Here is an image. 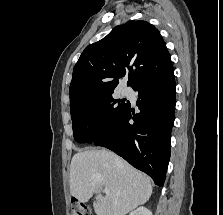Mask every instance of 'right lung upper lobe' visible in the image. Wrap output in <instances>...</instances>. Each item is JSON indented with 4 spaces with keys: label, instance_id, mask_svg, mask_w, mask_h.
Listing matches in <instances>:
<instances>
[{
    "label": "right lung upper lobe",
    "instance_id": "obj_1",
    "mask_svg": "<svg viewBox=\"0 0 223 215\" xmlns=\"http://www.w3.org/2000/svg\"><path fill=\"white\" fill-rule=\"evenodd\" d=\"M172 70L159 31L147 21H129L84 49L69 88L70 109L111 95L126 73L128 86L135 88Z\"/></svg>",
    "mask_w": 223,
    "mask_h": 215
}]
</instances>
